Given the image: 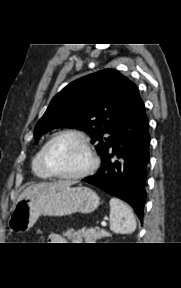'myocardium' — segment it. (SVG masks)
<instances>
[{
    "label": "myocardium",
    "instance_id": "obj_1",
    "mask_svg": "<svg viewBox=\"0 0 181 288\" xmlns=\"http://www.w3.org/2000/svg\"><path fill=\"white\" fill-rule=\"evenodd\" d=\"M64 136H73L77 138L84 148L86 149L87 156H88V163L87 165L80 170L79 172L72 173V174H62L57 171H55L48 162V151L51 145L58 140L61 137ZM41 161L43 167L46 169V171L53 177L60 178V179H80L88 174H90L97 166V158L95 156L91 141L89 137L82 131L77 129H64L56 134H54L43 146L42 152H41Z\"/></svg>",
    "mask_w": 181,
    "mask_h": 288
}]
</instances>
